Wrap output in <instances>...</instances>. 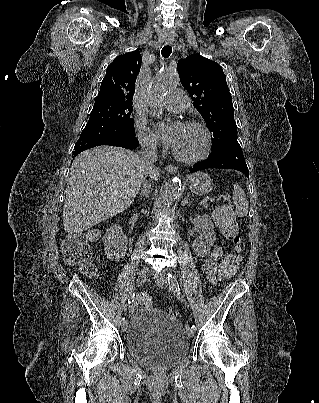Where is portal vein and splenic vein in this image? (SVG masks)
<instances>
[{
  "mask_svg": "<svg viewBox=\"0 0 319 403\" xmlns=\"http://www.w3.org/2000/svg\"><path fill=\"white\" fill-rule=\"evenodd\" d=\"M214 201L215 200V198H209V197H206L202 202H201V204H205L207 201Z\"/></svg>",
  "mask_w": 319,
  "mask_h": 403,
  "instance_id": "18ae733b",
  "label": "portal vein and splenic vein"
}]
</instances>
